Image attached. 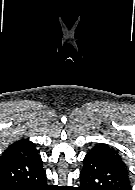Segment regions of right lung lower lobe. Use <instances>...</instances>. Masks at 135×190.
<instances>
[{"mask_svg": "<svg viewBox=\"0 0 135 190\" xmlns=\"http://www.w3.org/2000/svg\"><path fill=\"white\" fill-rule=\"evenodd\" d=\"M0 190H51L40 156L0 160Z\"/></svg>", "mask_w": 135, "mask_h": 190, "instance_id": "right-lung-lower-lobe-1", "label": "right lung lower lobe"}]
</instances>
